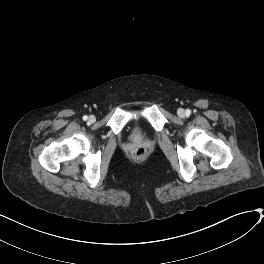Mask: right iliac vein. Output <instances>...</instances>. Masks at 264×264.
Returning <instances> with one entry per match:
<instances>
[{"instance_id": "63e3f726", "label": "right iliac vein", "mask_w": 264, "mask_h": 264, "mask_svg": "<svg viewBox=\"0 0 264 264\" xmlns=\"http://www.w3.org/2000/svg\"><path fill=\"white\" fill-rule=\"evenodd\" d=\"M95 116H93V115H91L90 117H89V121L91 122V123H93V122H95Z\"/></svg>"}]
</instances>
